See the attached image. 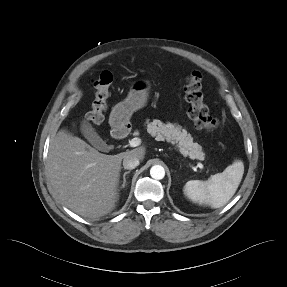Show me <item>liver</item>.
I'll use <instances>...</instances> for the list:
<instances>
[{
    "instance_id": "obj_1",
    "label": "liver",
    "mask_w": 287,
    "mask_h": 287,
    "mask_svg": "<svg viewBox=\"0 0 287 287\" xmlns=\"http://www.w3.org/2000/svg\"><path fill=\"white\" fill-rule=\"evenodd\" d=\"M129 154L143 159L145 147L106 155L61 129L50 143L47 158L50 187L72 211L97 219L116 207L121 162Z\"/></svg>"
}]
</instances>
